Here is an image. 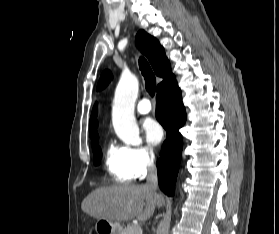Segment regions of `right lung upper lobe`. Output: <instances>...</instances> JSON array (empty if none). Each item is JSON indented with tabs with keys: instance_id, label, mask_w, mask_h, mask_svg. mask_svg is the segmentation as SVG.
Masks as SVG:
<instances>
[{
	"instance_id": "obj_1",
	"label": "right lung upper lobe",
	"mask_w": 279,
	"mask_h": 234,
	"mask_svg": "<svg viewBox=\"0 0 279 234\" xmlns=\"http://www.w3.org/2000/svg\"><path fill=\"white\" fill-rule=\"evenodd\" d=\"M136 43L141 51L147 56L154 69L155 74L163 78V81L158 86L169 80L173 76V74L171 72L170 63L166 58L164 48L160 45L159 41L146 33L144 30H140L136 36ZM111 78L112 76L109 71L103 72L98 83V88L103 89L109 83ZM96 116L97 113L96 111H94L89 122V127L91 128L89 131V135L92 139V145L99 139L96 130Z\"/></svg>"
}]
</instances>
